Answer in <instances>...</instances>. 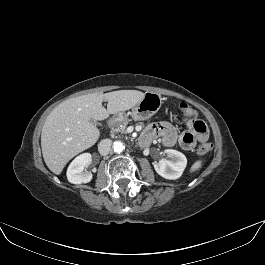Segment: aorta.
Returning <instances> with one entry per match:
<instances>
[{"mask_svg":"<svg viewBox=\"0 0 265 265\" xmlns=\"http://www.w3.org/2000/svg\"><path fill=\"white\" fill-rule=\"evenodd\" d=\"M125 149V146L121 141H115L113 143V150L115 153H121Z\"/></svg>","mask_w":265,"mask_h":265,"instance_id":"obj_1","label":"aorta"}]
</instances>
